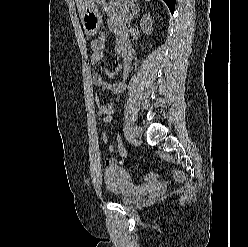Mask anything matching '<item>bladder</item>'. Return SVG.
<instances>
[{
	"label": "bladder",
	"mask_w": 248,
	"mask_h": 247,
	"mask_svg": "<svg viewBox=\"0 0 248 247\" xmlns=\"http://www.w3.org/2000/svg\"><path fill=\"white\" fill-rule=\"evenodd\" d=\"M108 192L118 198L122 204H131L140 195V190L132 181L130 174L122 168H111L104 174Z\"/></svg>",
	"instance_id": "1"
}]
</instances>
